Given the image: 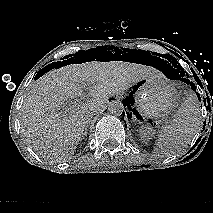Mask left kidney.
Masks as SVG:
<instances>
[{
  "instance_id": "left-kidney-1",
  "label": "left kidney",
  "mask_w": 213,
  "mask_h": 213,
  "mask_svg": "<svg viewBox=\"0 0 213 213\" xmlns=\"http://www.w3.org/2000/svg\"><path fill=\"white\" fill-rule=\"evenodd\" d=\"M140 133H141V138L146 139L151 134V131H150V128L148 127H142L140 130Z\"/></svg>"
}]
</instances>
